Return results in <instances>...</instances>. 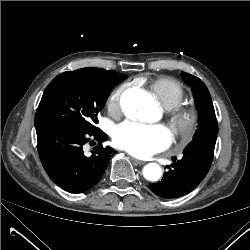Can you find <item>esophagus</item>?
<instances>
[{"instance_id":"esophagus-1","label":"esophagus","mask_w":250,"mask_h":250,"mask_svg":"<svg viewBox=\"0 0 250 250\" xmlns=\"http://www.w3.org/2000/svg\"><path fill=\"white\" fill-rule=\"evenodd\" d=\"M132 161H133V163H134L135 165H143V164H145L144 161L138 160V159H135V158H132Z\"/></svg>"}]
</instances>
